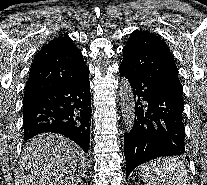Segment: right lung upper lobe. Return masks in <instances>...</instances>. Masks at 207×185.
<instances>
[{
	"instance_id": "right-lung-upper-lobe-1",
	"label": "right lung upper lobe",
	"mask_w": 207,
	"mask_h": 185,
	"mask_svg": "<svg viewBox=\"0 0 207 185\" xmlns=\"http://www.w3.org/2000/svg\"><path fill=\"white\" fill-rule=\"evenodd\" d=\"M88 72L81 51L72 40L66 35L55 38L36 54L23 101L77 80Z\"/></svg>"
}]
</instances>
